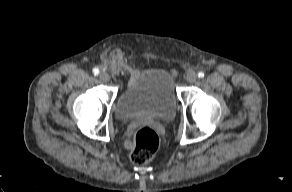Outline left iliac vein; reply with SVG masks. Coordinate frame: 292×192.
<instances>
[{
	"mask_svg": "<svg viewBox=\"0 0 292 192\" xmlns=\"http://www.w3.org/2000/svg\"><path fill=\"white\" fill-rule=\"evenodd\" d=\"M186 80L188 83H194L197 80V74L193 71H189L186 75Z\"/></svg>",
	"mask_w": 292,
	"mask_h": 192,
	"instance_id": "4c4485c4",
	"label": "left iliac vein"
}]
</instances>
